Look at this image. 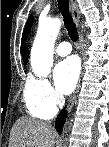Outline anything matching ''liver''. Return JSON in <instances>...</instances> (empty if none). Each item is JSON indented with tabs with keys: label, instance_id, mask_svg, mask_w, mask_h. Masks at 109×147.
Here are the masks:
<instances>
[{
	"label": "liver",
	"instance_id": "obj_1",
	"mask_svg": "<svg viewBox=\"0 0 109 147\" xmlns=\"http://www.w3.org/2000/svg\"><path fill=\"white\" fill-rule=\"evenodd\" d=\"M55 142L56 132L50 124L22 117L12 127L9 147H54Z\"/></svg>",
	"mask_w": 109,
	"mask_h": 147
}]
</instances>
